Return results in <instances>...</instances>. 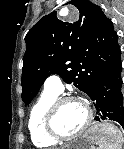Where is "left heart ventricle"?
<instances>
[{
	"mask_svg": "<svg viewBox=\"0 0 124 149\" xmlns=\"http://www.w3.org/2000/svg\"><path fill=\"white\" fill-rule=\"evenodd\" d=\"M87 109L79 101H70L63 104L56 116V129L65 135L78 131L85 123Z\"/></svg>",
	"mask_w": 124,
	"mask_h": 149,
	"instance_id": "obj_1",
	"label": "left heart ventricle"
}]
</instances>
